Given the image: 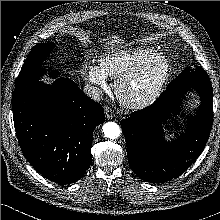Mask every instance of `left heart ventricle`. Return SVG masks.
I'll use <instances>...</instances> for the list:
<instances>
[{
    "mask_svg": "<svg viewBox=\"0 0 220 220\" xmlns=\"http://www.w3.org/2000/svg\"><path fill=\"white\" fill-rule=\"evenodd\" d=\"M161 68L162 63L159 60L152 61L141 76L127 85L125 89L126 96L129 98H138L145 94L153 84Z\"/></svg>",
    "mask_w": 220,
    "mask_h": 220,
    "instance_id": "b2bd125f",
    "label": "left heart ventricle"
}]
</instances>
